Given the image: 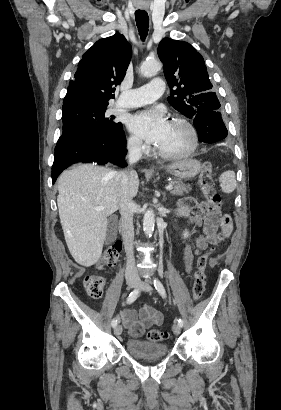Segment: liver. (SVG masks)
<instances>
[{"mask_svg":"<svg viewBox=\"0 0 281 410\" xmlns=\"http://www.w3.org/2000/svg\"><path fill=\"white\" fill-rule=\"evenodd\" d=\"M115 171L94 164H79L58 180L57 205L68 249L85 267L95 264L103 250L107 217L119 208ZM139 178L129 176V196L137 195ZM104 207L102 211L94 208Z\"/></svg>","mask_w":281,"mask_h":410,"instance_id":"liver-1","label":"liver"}]
</instances>
